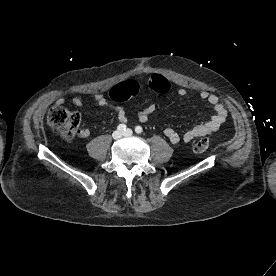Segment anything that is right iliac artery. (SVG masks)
<instances>
[{
	"mask_svg": "<svg viewBox=\"0 0 276 276\" xmlns=\"http://www.w3.org/2000/svg\"><path fill=\"white\" fill-rule=\"evenodd\" d=\"M126 125L125 124H119L118 125V127H117V129L119 130V131H124V130H126Z\"/></svg>",
	"mask_w": 276,
	"mask_h": 276,
	"instance_id": "right-iliac-artery-1",
	"label": "right iliac artery"
}]
</instances>
